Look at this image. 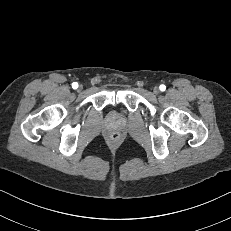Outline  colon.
<instances>
[{
  "label": "colon",
  "mask_w": 231,
  "mask_h": 231,
  "mask_svg": "<svg viewBox=\"0 0 231 231\" xmlns=\"http://www.w3.org/2000/svg\"><path fill=\"white\" fill-rule=\"evenodd\" d=\"M118 137H119V135H118L117 133H114V134L112 135V139H114V140L118 139Z\"/></svg>",
  "instance_id": "5ec220e1"
}]
</instances>
